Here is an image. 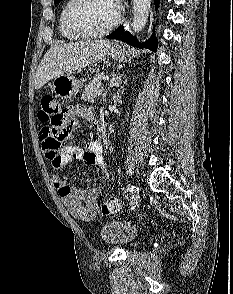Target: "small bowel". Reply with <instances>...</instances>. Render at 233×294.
Returning a JSON list of instances; mask_svg holds the SVG:
<instances>
[{
  "label": "small bowel",
  "instance_id": "obj_1",
  "mask_svg": "<svg viewBox=\"0 0 233 294\" xmlns=\"http://www.w3.org/2000/svg\"><path fill=\"white\" fill-rule=\"evenodd\" d=\"M89 103L64 104L61 110H52L48 126H43L40 141L46 158L50 162V177L54 187L61 196L70 214L81 221L92 220L97 212V199L101 193V186L93 184L80 189L70 185L62 175L63 168L73 160H82L90 166L101 169L104 178L110 175V169L103 158V148L100 142L91 141L82 149L72 144H63L73 137L72 128L77 122H83V117L97 126Z\"/></svg>",
  "mask_w": 233,
  "mask_h": 294
}]
</instances>
